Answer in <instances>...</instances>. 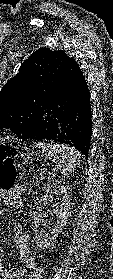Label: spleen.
Here are the masks:
<instances>
[{"label": "spleen", "mask_w": 113, "mask_h": 279, "mask_svg": "<svg viewBox=\"0 0 113 279\" xmlns=\"http://www.w3.org/2000/svg\"><path fill=\"white\" fill-rule=\"evenodd\" d=\"M36 146L42 150V153L55 163V166L64 176L75 172L82 159L81 153L74 147L49 142H38Z\"/></svg>", "instance_id": "3e777b00"}]
</instances>
